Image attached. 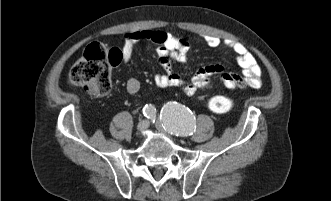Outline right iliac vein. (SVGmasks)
<instances>
[{
	"instance_id": "right-iliac-vein-1",
	"label": "right iliac vein",
	"mask_w": 331,
	"mask_h": 201,
	"mask_svg": "<svg viewBox=\"0 0 331 201\" xmlns=\"http://www.w3.org/2000/svg\"><path fill=\"white\" fill-rule=\"evenodd\" d=\"M148 127H149V122L147 120H143L138 124L137 129H138V131L143 132Z\"/></svg>"
}]
</instances>
